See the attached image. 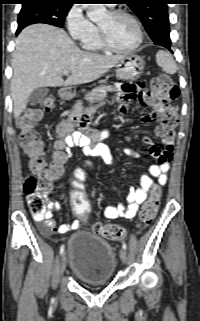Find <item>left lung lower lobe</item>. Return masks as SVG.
<instances>
[{
	"label": "left lung lower lobe",
	"mask_w": 200,
	"mask_h": 321,
	"mask_svg": "<svg viewBox=\"0 0 200 321\" xmlns=\"http://www.w3.org/2000/svg\"><path fill=\"white\" fill-rule=\"evenodd\" d=\"M171 43L166 44L164 47L170 50Z\"/></svg>",
	"instance_id": "1"
}]
</instances>
